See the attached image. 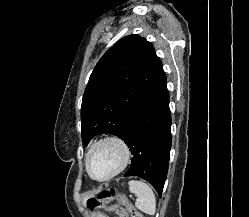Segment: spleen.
<instances>
[{
	"mask_svg": "<svg viewBox=\"0 0 249 217\" xmlns=\"http://www.w3.org/2000/svg\"><path fill=\"white\" fill-rule=\"evenodd\" d=\"M128 185L129 190L138 197L135 206L146 214L154 215L156 212V198L152 188L140 180H131Z\"/></svg>",
	"mask_w": 249,
	"mask_h": 217,
	"instance_id": "1",
	"label": "spleen"
}]
</instances>
